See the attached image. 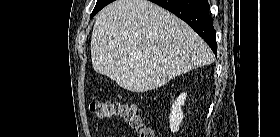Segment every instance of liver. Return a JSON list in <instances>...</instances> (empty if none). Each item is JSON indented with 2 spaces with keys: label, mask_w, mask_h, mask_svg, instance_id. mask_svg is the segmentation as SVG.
Masks as SVG:
<instances>
[{
  "label": "liver",
  "mask_w": 280,
  "mask_h": 137,
  "mask_svg": "<svg viewBox=\"0 0 280 137\" xmlns=\"http://www.w3.org/2000/svg\"><path fill=\"white\" fill-rule=\"evenodd\" d=\"M91 59L97 73L136 93L214 61L184 21L148 0H116L99 12Z\"/></svg>",
  "instance_id": "obj_1"
}]
</instances>
